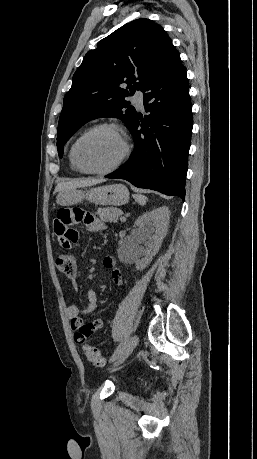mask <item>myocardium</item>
I'll return each instance as SVG.
<instances>
[{
	"label": "myocardium",
	"mask_w": 257,
	"mask_h": 459,
	"mask_svg": "<svg viewBox=\"0 0 257 459\" xmlns=\"http://www.w3.org/2000/svg\"><path fill=\"white\" fill-rule=\"evenodd\" d=\"M103 129L112 130V131H114L115 133H117L121 137V139L123 141V145H124L123 153L121 154L119 159L113 165H111V166H109L107 168H103V169L89 168V167L85 166L82 163V161H81V159L79 157L80 144L88 136H90L91 134L95 133L96 131L103 130ZM72 154H73V158H74L75 164L77 165V167L82 172L87 173V174H100V175L108 174V173L114 172L115 170L120 168L122 166V164L126 161V159L128 158V156L130 154V144H129L127 136H126L124 130L122 129V127H120L119 125H117L115 123L105 122V123H100V124H96V125L92 126L88 130H86L82 135H80L77 138V140L74 142L73 149H72Z\"/></svg>",
	"instance_id": "obj_1"
}]
</instances>
